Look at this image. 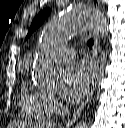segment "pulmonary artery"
<instances>
[{"label":"pulmonary artery","mask_w":125,"mask_h":128,"mask_svg":"<svg viewBox=\"0 0 125 128\" xmlns=\"http://www.w3.org/2000/svg\"><path fill=\"white\" fill-rule=\"evenodd\" d=\"M49 55L55 60H70L75 55V49L57 44L53 46Z\"/></svg>","instance_id":"e3ab8cb5"}]
</instances>
